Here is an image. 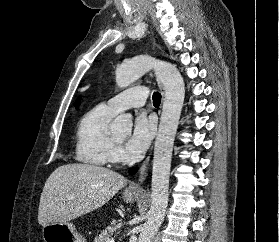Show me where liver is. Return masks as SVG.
Returning a JSON list of instances; mask_svg holds the SVG:
<instances>
[{
	"instance_id": "6515ba94",
	"label": "liver",
	"mask_w": 279,
	"mask_h": 242,
	"mask_svg": "<svg viewBox=\"0 0 279 242\" xmlns=\"http://www.w3.org/2000/svg\"><path fill=\"white\" fill-rule=\"evenodd\" d=\"M127 182L123 175L100 166H59L44 185L38 222L44 227L76 219L104 205Z\"/></svg>"
}]
</instances>
